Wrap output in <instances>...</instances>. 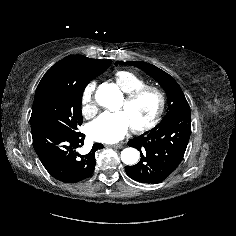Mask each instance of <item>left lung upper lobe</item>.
<instances>
[{
	"label": "left lung upper lobe",
	"instance_id": "5c2ea615",
	"mask_svg": "<svg viewBox=\"0 0 236 236\" xmlns=\"http://www.w3.org/2000/svg\"><path fill=\"white\" fill-rule=\"evenodd\" d=\"M133 65L138 67L139 69L146 72L149 76L155 79L161 87L165 90L167 94L168 101V112L162 119V121L156 126L167 122L170 118L174 117L178 114H190L189 104L180 88L178 83L165 71L157 68L156 66L142 62V61H134V62H116L115 65ZM155 127V128H156Z\"/></svg>",
	"mask_w": 236,
	"mask_h": 236
}]
</instances>
